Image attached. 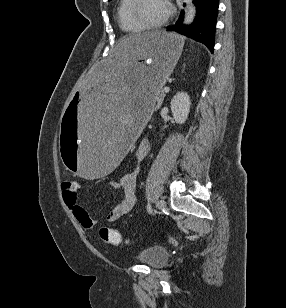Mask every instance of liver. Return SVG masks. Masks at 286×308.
I'll return each mask as SVG.
<instances>
[{
  "label": "liver",
  "instance_id": "liver-1",
  "mask_svg": "<svg viewBox=\"0 0 286 308\" xmlns=\"http://www.w3.org/2000/svg\"><path fill=\"white\" fill-rule=\"evenodd\" d=\"M147 35H150L149 33L148 34H139V35H135V36H132V37H136V36H147ZM124 40V39H123ZM122 40V41H123ZM122 41H120L119 43H118V45L115 47V49H114V51H113V53H114V55L115 54H118L120 51H121V49H122V45H121V43H122Z\"/></svg>",
  "mask_w": 286,
  "mask_h": 308
}]
</instances>
